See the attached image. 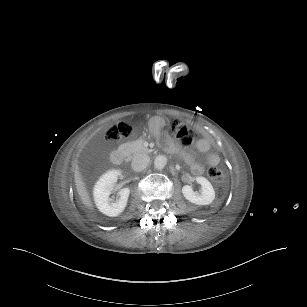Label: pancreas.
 <instances>
[{"mask_svg":"<svg viewBox=\"0 0 307 307\" xmlns=\"http://www.w3.org/2000/svg\"><path fill=\"white\" fill-rule=\"evenodd\" d=\"M137 147L138 148L136 149L135 152H137V153H145L146 148L143 146V142L141 140L138 141Z\"/></svg>","mask_w":307,"mask_h":307,"instance_id":"pancreas-1","label":"pancreas"}]
</instances>
